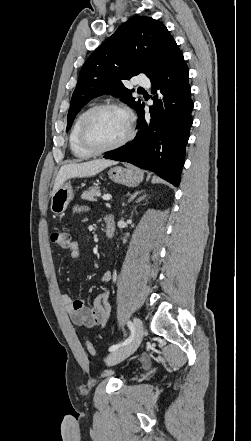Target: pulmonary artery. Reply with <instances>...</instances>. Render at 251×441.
Here are the masks:
<instances>
[{"mask_svg":"<svg viewBox=\"0 0 251 441\" xmlns=\"http://www.w3.org/2000/svg\"><path fill=\"white\" fill-rule=\"evenodd\" d=\"M135 83L139 86H143V87H149L150 86V81L149 79H147L146 77L143 76H138L136 78Z\"/></svg>","mask_w":251,"mask_h":441,"instance_id":"pulmonary-artery-1","label":"pulmonary artery"}]
</instances>
